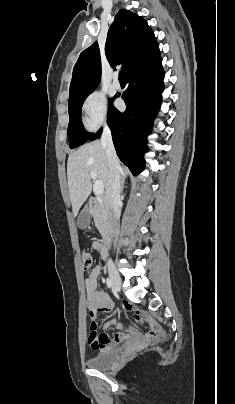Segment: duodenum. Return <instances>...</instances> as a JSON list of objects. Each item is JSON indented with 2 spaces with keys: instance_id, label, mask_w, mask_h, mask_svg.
Returning <instances> with one entry per match:
<instances>
[{
  "instance_id": "duodenum-1",
  "label": "duodenum",
  "mask_w": 235,
  "mask_h": 404,
  "mask_svg": "<svg viewBox=\"0 0 235 404\" xmlns=\"http://www.w3.org/2000/svg\"><path fill=\"white\" fill-rule=\"evenodd\" d=\"M98 203H99V201L96 198L90 199V201H89V209H90L91 213L94 212V210H95L96 206L98 205ZM109 244H110V236L106 235L103 238V252H104L105 256H106Z\"/></svg>"
}]
</instances>
